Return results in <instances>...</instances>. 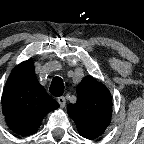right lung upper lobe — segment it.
Masks as SVG:
<instances>
[{"mask_svg":"<svg viewBox=\"0 0 144 144\" xmlns=\"http://www.w3.org/2000/svg\"><path fill=\"white\" fill-rule=\"evenodd\" d=\"M59 104L37 81L32 59L20 63L10 74L2 95V111L16 134L36 133L42 119Z\"/></svg>","mask_w":144,"mask_h":144,"instance_id":"cb5924a9","label":"right lung upper lobe"}]
</instances>
